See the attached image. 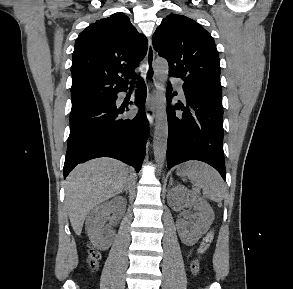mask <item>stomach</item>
<instances>
[{
    "label": "stomach",
    "instance_id": "obj_1",
    "mask_svg": "<svg viewBox=\"0 0 293 289\" xmlns=\"http://www.w3.org/2000/svg\"><path fill=\"white\" fill-rule=\"evenodd\" d=\"M177 175H179V176H186L187 175V166H186V164L178 166Z\"/></svg>",
    "mask_w": 293,
    "mask_h": 289
}]
</instances>
